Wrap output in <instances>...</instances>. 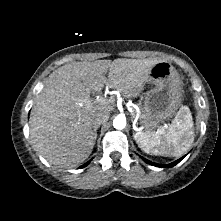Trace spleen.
Listing matches in <instances>:
<instances>
[{
    "label": "spleen",
    "instance_id": "spleen-1",
    "mask_svg": "<svg viewBox=\"0 0 221 221\" xmlns=\"http://www.w3.org/2000/svg\"><path fill=\"white\" fill-rule=\"evenodd\" d=\"M134 138L145 153L178 157L186 152L194 141L191 112L188 107H182L166 133L148 130L137 132Z\"/></svg>",
    "mask_w": 221,
    "mask_h": 221
}]
</instances>
